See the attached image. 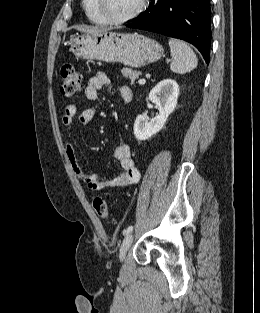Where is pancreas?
<instances>
[{
    "label": "pancreas",
    "instance_id": "pancreas-1",
    "mask_svg": "<svg viewBox=\"0 0 260 313\" xmlns=\"http://www.w3.org/2000/svg\"><path fill=\"white\" fill-rule=\"evenodd\" d=\"M121 73H122L123 77L131 80V84H133L134 81L141 75L140 71H135V70H132L130 68H123L121 70Z\"/></svg>",
    "mask_w": 260,
    "mask_h": 313
}]
</instances>
